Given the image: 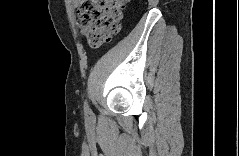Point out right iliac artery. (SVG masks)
<instances>
[{
  "mask_svg": "<svg viewBox=\"0 0 239 156\" xmlns=\"http://www.w3.org/2000/svg\"><path fill=\"white\" fill-rule=\"evenodd\" d=\"M84 111H85V113H89L90 112L89 106H88L86 101L84 103Z\"/></svg>",
  "mask_w": 239,
  "mask_h": 156,
  "instance_id": "obj_1",
  "label": "right iliac artery"
}]
</instances>
